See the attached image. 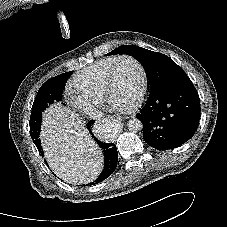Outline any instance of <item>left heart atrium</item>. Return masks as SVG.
Here are the masks:
<instances>
[{
  "mask_svg": "<svg viewBox=\"0 0 227 227\" xmlns=\"http://www.w3.org/2000/svg\"><path fill=\"white\" fill-rule=\"evenodd\" d=\"M114 107H115L117 110L127 109V106H116V105H114Z\"/></svg>",
  "mask_w": 227,
  "mask_h": 227,
  "instance_id": "39dd6f15",
  "label": "left heart atrium"
}]
</instances>
